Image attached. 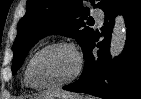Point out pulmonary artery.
<instances>
[{
    "label": "pulmonary artery",
    "mask_w": 141,
    "mask_h": 99,
    "mask_svg": "<svg viewBox=\"0 0 141 99\" xmlns=\"http://www.w3.org/2000/svg\"><path fill=\"white\" fill-rule=\"evenodd\" d=\"M93 16L98 21V23H100V24L102 23L103 17H104L102 11H100V10L94 11Z\"/></svg>",
    "instance_id": "obj_1"
}]
</instances>
